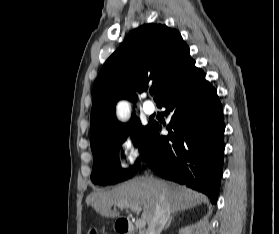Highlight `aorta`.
Here are the masks:
<instances>
[{
    "label": "aorta",
    "instance_id": "1",
    "mask_svg": "<svg viewBox=\"0 0 279 234\" xmlns=\"http://www.w3.org/2000/svg\"><path fill=\"white\" fill-rule=\"evenodd\" d=\"M129 115V106L126 102H119L117 105V116L120 120H125Z\"/></svg>",
    "mask_w": 279,
    "mask_h": 234
}]
</instances>
